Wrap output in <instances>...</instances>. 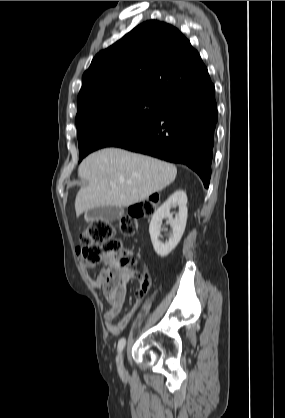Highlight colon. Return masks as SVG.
Segmentation results:
<instances>
[{"mask_svg": "<svg viewBox=\"0 0 285 418\" xmlns=\"http://www.w3.org/2000/svg\"><path fill=\"white\" fill-rule=\"evenodd\" d=\"M155 210V204L151 201H141L130 207L129 215L121 220V231L125 236H133L138 230L139 218L150 217ZM121 243L115 238L114 227L107 222H94L89 224L80 234V244L77 249L79 258L89 264H98L106 256H114L119 253ZM138 264V259L133 257L115 260L114 267L126 274L133 275V266ZM102 279L100 280V285Z\"/></svg>", "mask_w": 285, "mask_h": 418, "instance_id": "colon-1", "label": "colon"}]
</instances>
